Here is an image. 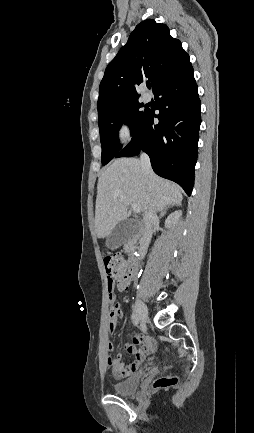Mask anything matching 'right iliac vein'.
I'll return each mask as SVG.
<instances>
[{"label": "right iliac vein", "mask_w": 254, "mask_h": 433, "mask_svg": "<svg viewBox=\"0 0 254 433\" xmlns=\"http://www.w3.org/2000/svg\"><path fill=\"white\" fill-rule=\"evenodd\" d=\"M136 313L142 323L145 324L148 322V312L141 300H138L136 303Z\"/></svg>", "instance_id": "63e3f726"}]
</instances>
